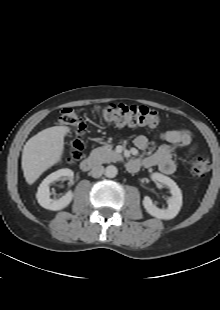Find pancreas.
Instances as JSON below:
<instances>
[{
  "mask_svg": "<svg viewBox=\"0 0 220 310\" xmlns=\"http://www.w3.org/2000/svg\"><path fill=\"white\" fill-rule=\"evenodd\" d=\"M90 158L98 164L116 162L122 159V156L113 151L109 146L95 148L90 153Z\"/></svg>",
  "mask_w": 220,
  "mask_h": 310,
  "instance_id": "pancreas-1",
  "label": "pancreas"
}]
</instances>
